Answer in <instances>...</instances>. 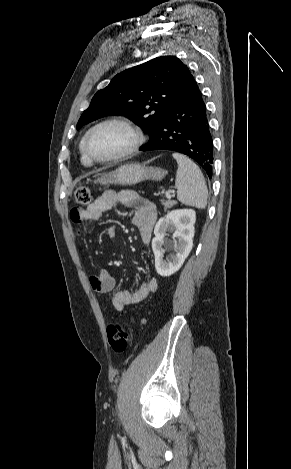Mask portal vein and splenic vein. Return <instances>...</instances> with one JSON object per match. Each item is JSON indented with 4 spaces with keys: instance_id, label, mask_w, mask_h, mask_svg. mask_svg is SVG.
Here are the masks:
<instances>
[{
    "instance_id": "1",
    "label": "portal vein and splenic vein",
    "mask_w": 291,
    "mask_h": 469,
    "mask_svg": "<svg viewBox=\"0 0 291 469\" xmlns=\"http://www.w3.org/2000/svg\"><path fill=\"white\" fill-rule=\"evenodd\" d=\"M172 192H173L172 190L167 191V192L165 193V194H166V197H168V198L171 197L170 193H172Z\"/></svg>"
}]
</instances>
